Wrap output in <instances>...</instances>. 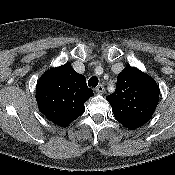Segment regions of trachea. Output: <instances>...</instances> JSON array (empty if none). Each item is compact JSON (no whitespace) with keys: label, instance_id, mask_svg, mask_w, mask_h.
<instances>
[{"label":"trachea","instance_id":"trachea-1","mask_svg":"<svg viewBox=\"0 0 175 175\" xmlns=\"http://www.w3.org/2000/svg\"><path fill=\"white\" fill-rule=\"evenodd\" d=\"M98 78L96 76H92L89 80H88V86L89 87H96L98 85Z\"/></svg>","mask_w":175,"mask_h":175}]
</instances>
